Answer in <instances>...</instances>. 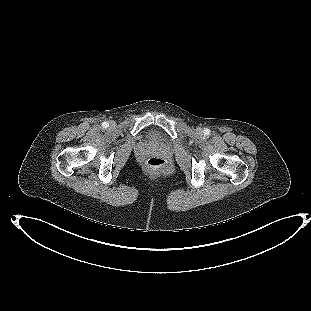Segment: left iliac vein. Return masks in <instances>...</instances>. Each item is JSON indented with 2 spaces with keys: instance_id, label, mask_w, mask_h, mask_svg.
Masks as SVG:
<instances>
[{
  "instance_id": "obj_1",
  "label": "left iliac vein",
  "mask_w": 311,
  "mask_h": 311,
  "mask_svg": "<svg viewBox=\"0 0 311 311\" xmlns=\"http://www.w3.org/2000/svg\"><path fill=\"white\" fill-rule=\"evenodd\" d=\"M197 132L200 134V133H202V129L201 128H198L197 129Z\"/></svg>"
}]
</instances>
